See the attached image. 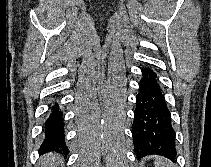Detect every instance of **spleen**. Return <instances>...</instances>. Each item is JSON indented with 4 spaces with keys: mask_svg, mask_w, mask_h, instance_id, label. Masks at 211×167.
<instances>
[{
    "mask_svg": "<svg viewBox=\"0 0 211 167\" xmlns=\"http://www.w3.org/2000/svg\"><path fill=\"white\" fill-rule=\"evenodd\" d=\"M154 164L155 167H174L169 160L162 157L156 158Z\"/></svg>",
    "mask_w": 211,
    "mask_h": 167,
    "instance_id": "spleen-1",
    "label": "spleen"
}]
</instances>
